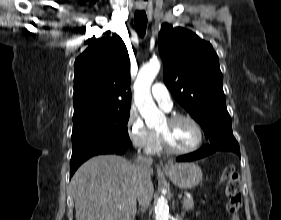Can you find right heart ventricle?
I'll return each instance as SVG.
<instances>
[{"instance_id":"obj_1","label":"right heart ventricle","mask_w":281,"mask_h":220,"mask_svg":"<svg viewBox=\"0 0 281 220\" xmlns=\"http://www.w3.org/2000/svg\"><path fill=\"white\" fill-rule=\"evenodd\" d=\"M156 135V134H155ZM161 146H160V143H159V140H158V136L156 135V140H155V144L152 148V151L151 152H159L161 151Z\"/></svg>"}]
</instances>
